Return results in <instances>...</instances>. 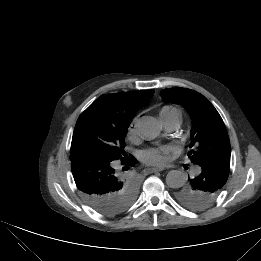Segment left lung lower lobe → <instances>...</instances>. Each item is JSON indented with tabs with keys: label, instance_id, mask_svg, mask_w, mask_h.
<instances>
[{
	"label": "left lung lower lobe",
	"instance_id": "0a47b994",
	"mask_svg": "<svg viewBox=\"0 0 261 261\" xmlns=\"http://www.w3.org/2000/svg\"><path fill=\"white\" fill-rule=\"evenodd\" d=\"M229 165L228 161H214L213 159L201 163L199 175L188 179L190 186L207 196L216 195L228 179Z\"/></svg>",
	"mask_w": 261,
	"mask_h": 261
}]
</instances>
